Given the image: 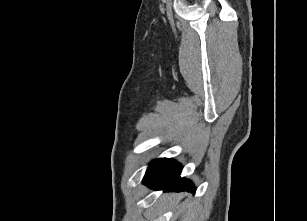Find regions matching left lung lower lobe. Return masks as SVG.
Here are the masks:
<instances>
[{
    "instance_id": "1",
    "label": "left lung lower lobe",
    "mask_w": 307,
    "mask_h": 221,
    "mask_svg": "<svg viewBox=\"0 0 307 221\" xmlns=\"http://www.w3.org/2000/svg\"><path fill=\"white\" fill-rule=\"evenodd\" d=\"M181 164L167 158L153 161L147 168L143 183L153 190L165 189V191H190L195 193L196 188L185 179L180 178Z\"/></svg>"
}]
</instances>
